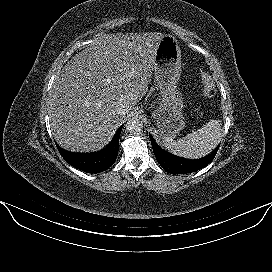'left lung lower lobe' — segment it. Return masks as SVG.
<instances>
[{"instance_id": "1", "label": "left lung lower lobe", "mask_w": 272, "mask_h": 272, "mask_svg": "<svg viewBox=\"0 0 272 272\" xmlns=\"http://www.w3.org/2000/svg\"><path fill=\"white\" fill-rule=\"evenodd\" d=\"M149 137L158 163L166 172L171 174L191 173L205 167L214 159L219 148H216L211 154L207 155L206 157L196 160H189L177 157L164 151L156 144L150 134Z\"/></svg>"}]
</instances>
